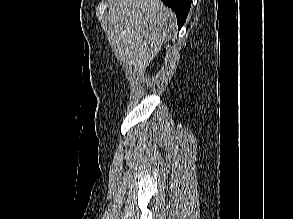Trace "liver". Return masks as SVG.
I'll return each mask as SVG.
<instances>
[{"label":"liver","instance_id":"1","mask_svg":"<svg viewBox=\"0 0 293 219\" xmlns=\"http://www.w3.org/2000/svg\"><path fill=\"white\" fill-rule=\"evenodd\" d=\"M108 34L116 56L143 74L177 26L161 0H109Z\"/></svg>","mask_w":293,"mask_h":219}]
</instances>
